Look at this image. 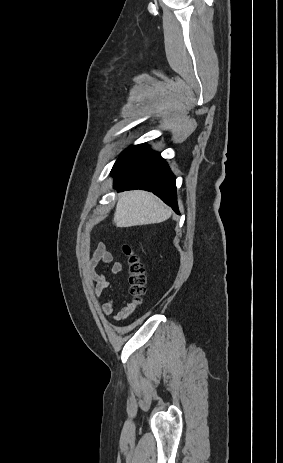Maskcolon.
<instances>
[{
  "mask_svg": "<svg viewBox=\"0 0 283 463\" xmlns=\"http://www.w3.org/2000/svg\"><path fill=\"white\" fill-rule=\"evenodd\" d=\"M124 252L128 257L129 292L132 302L138 304L141 302L142 296L146 290V269L130 246L125 245Z\"/></svg>",
  "mask_w": 283,
  "mask_h": 463,
  "instance_id": "5ec220e1",
  "label": "colon"
}]
</instances>
